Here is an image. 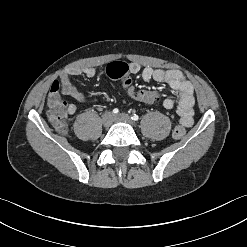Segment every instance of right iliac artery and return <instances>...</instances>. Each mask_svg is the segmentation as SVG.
I'll return each instance as SVG.
<instances>
[{
    "mask_svg": "<svg viewBox=\"0 0 247 247\" xmlns=\"http://www.w3.org/2000/svg\"><path fill=\"white\" fill-rule=\"evenodd\" d=\"M113 113L114 114H118L119 113V110L117 108L113 109Z\"/></svg>",
    "mask_w": 247,
    "mask_h": 247,
    "instance_id": "82829eb1",
    "label": "right iliac artery"
}]
</instances>
